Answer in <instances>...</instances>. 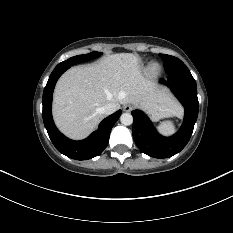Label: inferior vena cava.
<instances>
[{
	"instance_id": "obj_1",
	"label": "inferior vena cava",
	"mask_w": 233,
	"mask_h": 233,
	"mask_svg": "<svg viewBox=\"0 0 233 233\" xmlns=\"http://www.w3.org/2000/svg\"><path fill=\"white\" fill-rule=\"evenodd\" d=\"M117 110V105L115 103H109L101 108H99V112L105 115H110Z\"/></svg>"
}]
</instances>
